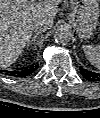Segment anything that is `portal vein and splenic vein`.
Masks as SVG:
<instances>
[{
	"label": "portal vein and splenic vein",
	"instance_id": "portal-vein-and-splenic-vein-1",
	"mask_svg": "<svg viewBox=\"0 0 100 118\" xmlns=\"http://www.w3.org/2000/svg\"><path fill=\"white\" fill-rule=\"evenodd\" d=\"M36 0H30V5H33L35 3ZM20 6H24V4L20 5Z\"/></svg>",
	"mask_w": 100,
	"mask_h": 118
}]
</instances>
